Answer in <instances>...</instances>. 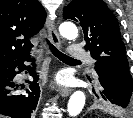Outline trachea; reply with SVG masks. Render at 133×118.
Wrapping results in <instances>:
<instances>
[{"label":"trachea","instance_id":"1","mask_svg":"<svg viewBox=\"0 0 133 118\" xmlns=\"http://www.w3.org/2000/svg\"><path fill=\"white\" fill-rule=\"evenodd\" d=\"M47 44L49 46V49L52 51V53L59 58L61 61H71V62H78L80 63L79 60H76L74 58H71L69 56H67L66 54L60 52L53 44H51L47 39Z\"/></svg>","mask_w":133,"mask_h":118}]
</instances>
